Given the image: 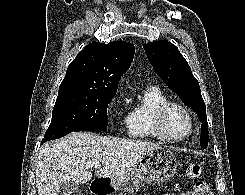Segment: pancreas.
I'll list each match as a JSON object with an SVG mask.
<instances>
[{
    "label": "pancreas",
    "instance_id": "cf45deb5",
    "mask_svg": "<svg viewBox=\"0 0 245 195\" xmlns=\"http://www.w3.org/2000/svg\"><path fill=\"white\" fill-rule=\"evenodd\" d=\"M144 187V185L140 184L139 182H134L131 185L127 186L124 185L122 188H120V194L119 195H137V192H139L140 188Z\"/></svg>",
    "mask_w": 245,
    "mask_h": 195
}]
</instances>
